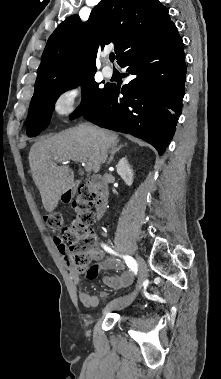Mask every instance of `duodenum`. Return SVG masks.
I'll return each instance as SVG.
<instances>
[{"mask_svg": "<svg viewBox=\"0 0 221 379\" xmlns=\"http://www.w3.org/2000/svg\"><path fill=\"white\" fill-rule=\"evenodd\" d=\"M84 189L94 190L99 193L95 209L97 218H100L104 214L107 205V188L104 180L99 176H91L84 181H76L65 193V197L72 199L78 196Z\"/></svg>", "mask_w": 221, "mask_h": 379, "instance_id": "410a0bca", "label": "duodenum"}]
</instances>
